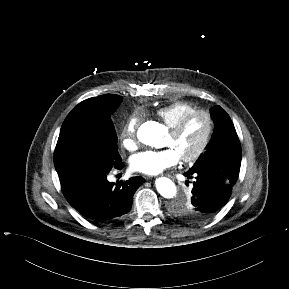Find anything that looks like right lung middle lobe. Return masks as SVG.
<instances>
[{
  "mask_svg": "<svg viewBox=\"0 0 289 289\" xmlns=\"http://www.w3.org/2000/svg\"><path fill=\"white\" fill-rule=\"evenodd\" d=\"M122 96L105 94L79 103L64 120L54 152L58 174L88 168L110 171L121 162L111 120Z\"/></svg>",
  "mask_w": 289,
  "mask_h": 289,
  "instance_id": "1",
  "label": "right lung middle lobe"
}]
</instances>
